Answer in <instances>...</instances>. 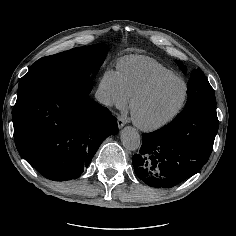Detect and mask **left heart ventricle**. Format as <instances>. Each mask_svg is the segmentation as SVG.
I'll return each mask as SVG.
<instances>
[{"label": "left heart ventricle", "mask_w": 236, "mask_h": 236, "mask_svg": "<svg viewBox=\"0 0 236 236\" xmlns=\"http://www.w3.org/2000/svg\"><path fill=\"white\" fill-rule=\"evenodd\" d=\"M183 93L184 85L180 81L161 84L136 102L134 114L144 123L160 121L178 107Z\"/></svg>", "instance_id": "1"}]
</instances>
